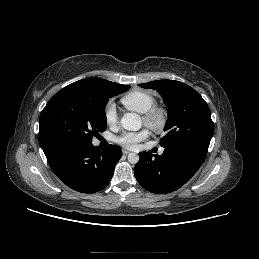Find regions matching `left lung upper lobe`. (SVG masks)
Masks as SVG:
<instances>
[{
	"label": "left lung upper lobe",
	"instance_id": "5c2ea615",
	"mask_svg": "<svg viewBox=\"0 0 259 259\" xmlns=\"http://www.w3.org/2000/svg\"><path fill=\"white\" fill-rule=\"evenodd\" d=\"M158 91L168 106L167 134L161 138L162 147L193 144L209 147L214 124L207 103L190 86L174 80H157L139 84Z\"/></svg>",
	"mask_w": 259,
	"mask_h": 259
}]
</instances>
